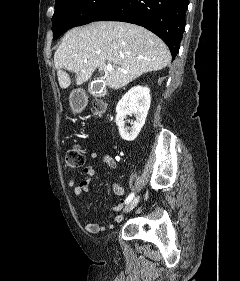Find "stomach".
I'll return each instance as SVG.
<instances>
[{
  "label": "stomach",
  "instance_id": "0dacf381",
  "mask_svg": "<svg viewBox=\"0 0 240 281\" xmlns=\"http://www.w3.org/2000/svg\"><path fill=\"white\" fill-rule=\"evenodd\" d=\"M72 97H73V96H71V106H72L73 109H76L77 106H76V104L73 102Z\"/></svg>",
  "mask_w": 240,
  "mask_h": 281
}]
</instances>
